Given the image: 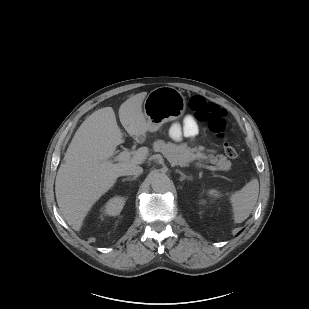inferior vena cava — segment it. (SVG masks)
I'll list each match as a JSON object with an SVG mask.
<instances>
[{"label": "inferior vena cava", "instance_id": "inferior-vena-cava-1", "mask_svg": "<svg viewBox=\"0 0 309 309\" xmlns=\"http://www.w3.org/2000/svg\"><path fill=\"white\" fill-rule=\"evenodd\" d=\"M143 172L142 167L140 166H130L123 169L120 173L121 176H127V175H135L138 176Z\"/></svg>", "mask_w": 309, "mask_h": 309}]
</instances>
